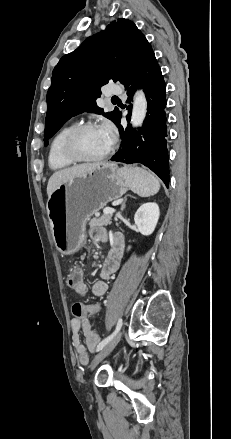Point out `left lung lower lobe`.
<instances>
[{
  "instance_id": "0a47b994",
  "label": "left lung lower lobe",
  "mask_w": 231,
  "mask_h": 439,
  "mask_svg": "<svg viewBox=\"0 0 231 439\" xmlns=\"http://www.w3.org/2000/svg\"><path fill=\"white\" fill-rule=\"evenodd\" d=\"M130 103L137 88H142L147 98V114L138 131L120 125L121 112L115 124L122 138L121 147L111 158L112 161L126 164L141 163L155 172L168 187L169 165L166 147V87L155 58L148 47L130 78L124 83ZM131 113L127 115L130 120Z\"/></svg>"
}]
</instances>
